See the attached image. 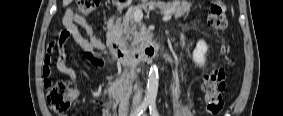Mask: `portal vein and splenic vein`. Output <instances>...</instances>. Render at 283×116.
I'll use <instances>...</instances> for the list:
<instances>
[{
  "mask_svg": "<svg viewBox=\"0 0 283 116\" xmlns=\"http://www.w3.org/2000/svg\"><path fill=\"white\" fill-rule=\"evenodd\" d=\"M134 19L140 21L143 18V13L141 9H135L134 13H133ZM172 17V13L171 11L165 13V15L163 16L162 20L167 22L171 19Z\"/></svg>",
  "mask_w": 283,
  "mask_h": 116,
  "instance_id": "1",
  "label": "portal vein and splenic vein"
}]
</instances>
